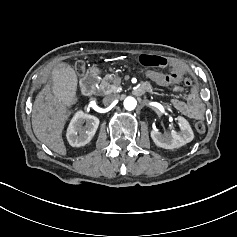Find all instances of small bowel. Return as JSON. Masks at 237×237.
Here are the masks:
<instances>
[{
    "label": "small bowel",
    "instance_id": "small-bowel-1",
    "mask_svg": "<svg viewBox=\"0 0 237 237\" xmlns=\"http://www.w3.org/2000/svg\"><path fill=\"white\" fill-rule=\"evenodd\" d=\"M169 72L170 73H177L179 74V78L170 83L175 91H181L182 88L178 85L184 78V84L187 87H191L190 93L185 99L181 98H174L172 99V105L176 110L181 112L182 114L186 115L192 119H204L206 116V107L202 101L198 88L193 84V81L190 77H185L187 70L182 65L177 62H170L169 63ZM146 75L152 81H157L159 78L163 76V73L157 72L155 70H147ZM138 93L143 92H150L153 93V87L148 82H143L136 88Z\"/></svg>",
    "mask_w": 237,
    "mask_h": 237
}]
</instances>
